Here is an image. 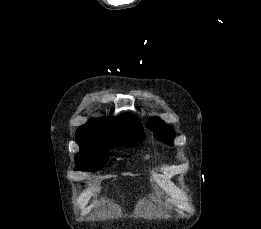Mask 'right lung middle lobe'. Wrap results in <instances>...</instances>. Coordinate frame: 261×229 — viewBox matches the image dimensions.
Returning a JSON list of instances; mask_svg holds the SVG:
<instances>
[{
	"label": "right lung middle lobe",
	"mask_w": 261,
	"mask_h": 229,
	"mask_svg": "<svg viewBox=\"0 0 261 229\" xmlns=\"http://www.w3.org/2000/svg\"><path fill=\"white\" fill-rule=\"evenodd\" d=\"M119 132L126 141L125 146L139 143L145 138L141 125H129L121 128ZM108 156L107 149L80 148V152L75 157L76 166L79 170L96 171L105 163Z\"/></svg>",
	"instance_id": "obj_1"
}]
</instances>
